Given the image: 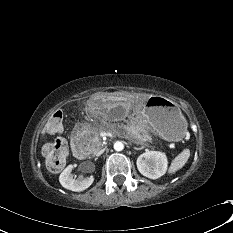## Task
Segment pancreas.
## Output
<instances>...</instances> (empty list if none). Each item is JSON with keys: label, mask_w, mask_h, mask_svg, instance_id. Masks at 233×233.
<instances>
[{"label": "pancreas", "mask_w": 233, "mask_h": 233, "mask_svg": "<svg viewBox=\"0 0 233 233\" xmlns=\"http://www.w3.org/2000/svg\"><path fill=\"white\" fill-rule=\"evenodd\" d=\"M90 134L92 135L89 138L90 141V147L93 152H96L102 145V142L99 138V133L97 130L90 128ZM131 136L134 139V142L136 144H140L143 147L147 146L149 142H151V136L149 133L148 126L144 123L137 124L132 130H131Z\"/></svg>", "instance_id": "obj_1"}]
</instances>
